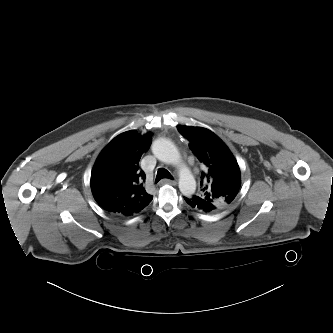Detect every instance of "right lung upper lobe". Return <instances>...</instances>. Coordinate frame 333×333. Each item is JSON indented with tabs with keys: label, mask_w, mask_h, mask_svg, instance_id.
I'll use <instances>...</instances> for the list:
<instances>
[{
	"label": "right lung upper lobe",
	"mask_w": 333,
	"mask_h": 333,
	"mask_svg": "<svg viewBox=\"0 0 333 333\" xmlns=\"http://www.w3.org/2000/svg\"><path fill=\"white\" fill-rule=\"evenodd\" d=\"M152 133L127 131L115 137L99 154L91 173L96 202L108 213L131 216L153 199L145 190L139 160L152 142Z\"/></svg>",
	"instance_id": "obj_1"
}]
</instances>
